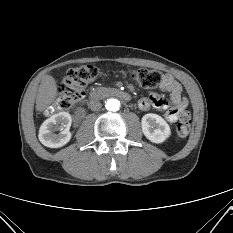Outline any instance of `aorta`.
Masks as SVG:
<instances>
[{
	"label": "aorta",
	"instance_id": "762f6f07",
	"mask_svg": "<svg viewBox=\"0 0 233 233\" xmlns=\"http://www.w3.org/2000/svg\"><path fill=\"white\" fill-rule=\"evenodd\" d=\"M105 107H106L107 110L114 112V111L119 110L120 102L117 99L111 98V99L107 100V102L105 104Z\"/></svg>",
	"mask_w": 233,
	"mask_h": 233
}]
</instances>
